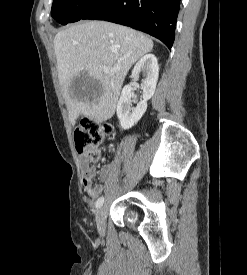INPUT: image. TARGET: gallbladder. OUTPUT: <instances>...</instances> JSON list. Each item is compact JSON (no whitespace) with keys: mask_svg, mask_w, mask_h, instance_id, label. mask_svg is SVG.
Masks as SVG:
<instances>
[{"mask_svg":"<svg viewBox=\"0 0 247 275\" xmlns=\"http://www.w3.org/2000/svg\"><path fill=\"white\" fill-rule=\"evenodd\" d=\"M99 85V81L93 80L88 77L87 73L81 72L72 80L71 90L75 93H87L89 96H93L99 94Z\"/></svg>","mask_w":247,"mask_h":275,"instance_id":"bac80fb5","label":"gallbladder"}]
</instances>
